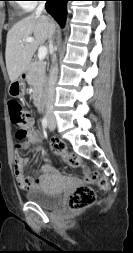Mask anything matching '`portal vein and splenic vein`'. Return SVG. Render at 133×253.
<instances>
[{"label": "portal vein and splenic vein", "mask_w": 133, "mask_h": 253, "mask_svg": "<svg viewBox=\"0 0 133 253\" xmlns=\"http://www.w3.org/2000/svg\"><path fill=\"white\" fill-rule=\"evenodd\" d=\"M26 42H33L34 39L32 37H27L24 39ZM47 55V48L44 46L39 47L38 49V58L40 61H42Z\"/></svg>", "instance_id": "obj_1"}]
</instances>
